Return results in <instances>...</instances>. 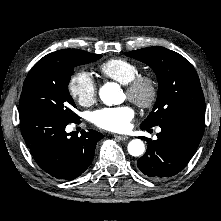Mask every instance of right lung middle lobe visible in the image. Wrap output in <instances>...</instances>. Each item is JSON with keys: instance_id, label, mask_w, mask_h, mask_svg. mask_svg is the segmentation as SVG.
Wrapping results in <instances>:
<instances>
[{"instance_id": "1", "label": "right lung middle lobe", "mask_w": 221, "mask_h": 221, "mask_svg": "<svg viewBox=\"0 0 221 221\" xmlns=\"http://www.w3.org/2000/svg\"><path fill=\"white\" fill-rule=\"evenodd\" d=\"M101 55L81 50H71L62 56H45L27 75L20 97L19 112L44 111L68 122H76V108L68 91L74 67L99 59Z\"/></svg>"}]
</instances>
